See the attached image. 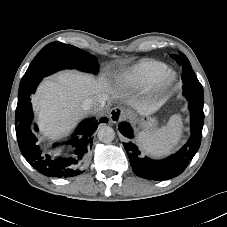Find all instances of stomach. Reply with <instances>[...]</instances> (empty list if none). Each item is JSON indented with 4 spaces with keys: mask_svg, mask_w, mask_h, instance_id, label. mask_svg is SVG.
<instances>
[{
    "mask_svg": "<svg viewBox=\"0 0 227 227\" xmlns=\"http://www.w3.org/2000/svg\"><path fill=\"white\" fill-rule=\"evenodd\" d=\"M136 122L139 125L142 133H151L157 127V120L150 115H144L140 119H137Z\"/></svg>",
    "mask_w": 227,
    "mask_h": 227,
    "instance_id": "obj_1",
    "label": "stomach"
}]
</instances>
